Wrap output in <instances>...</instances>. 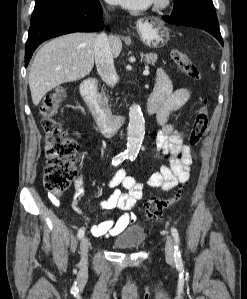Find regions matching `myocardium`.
<instances>
[{"mask_svg": "<svg viewBox=\"0 0 247 299\" xmlns=\"http://www.w3.org/2000/svg\"><path fill=\"white\" fill-rule=\"evenodd\" d=\"M169 0H153V7L155 9H161L167 6Z\"/></svg>", "mask_w": 247, "mask_h": 299, "instance_id": "f54148a6", "label": "myocardium"}]
</instances>
